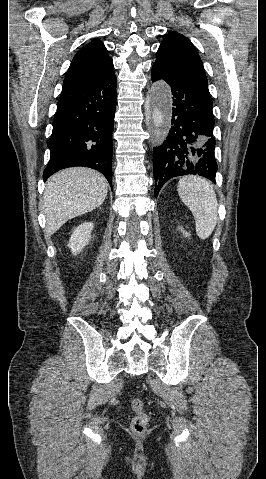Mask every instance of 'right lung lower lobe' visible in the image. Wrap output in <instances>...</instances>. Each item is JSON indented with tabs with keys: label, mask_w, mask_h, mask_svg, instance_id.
Wrapping results in <instances>:
<instances>
[{
	"label": "right lung lower lobe",
	"mask_w": 266,
	"mask_h": 479,
	"mask_svg": "<svg viewBox=\"0 0 266 479\" xmlns=\"http://www.w3.org/2000/svg\"><path fill=\"white\" fill-rule=\"evenodd\" d=\"M116 76L80 86L63 87L48 140L50 160L44 181L55 172L85 166L101 172L112 186Z\"/></svg>",
	"instance_id": "1"
}]
</instances>
